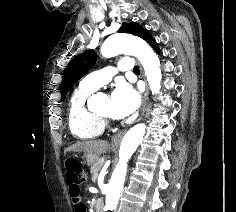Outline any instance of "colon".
Listing matches in <instances>:
<instances>
[{"mask_svg":"<svg viewBox=\"0 0 236 212\" xmlns=\"http://www.w3.org/2000/svg\"><path fill=\"white\" fill-rule=\"evenodd\" d=\"M65 166H66V170H67L66 175H75V179L81 180L80 185L82 183H84L86 176H85V172H84L81 164L79 163V161H77L75 159L68 160V161H66ZM66 181L68 183V180H66ZM70 197H71V195H70Z\"/></svg>","mask_w":236,"mask_h":212,"instance_id":"5ec220e1","label":"colon"}]
</instances>
